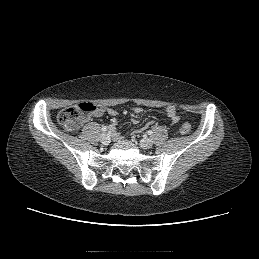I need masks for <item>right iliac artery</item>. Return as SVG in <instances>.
I'll use <instances>...</instances> for the list:
<instances>
[{"label":"right iliac artery","instance_id":"obj_1","mask_svg":"<svg viewBox=\"0 0 259 259\" xmlns=\"http://www.w3.org/2000/svg\"><path fill=\"white\" fill-rule=\"evenodd\" d=\"M101 130H102L103 132L107 131V127H106V126H103Z\"/></svg>","mask_w":259,"mask_h":259}]
</instances>
